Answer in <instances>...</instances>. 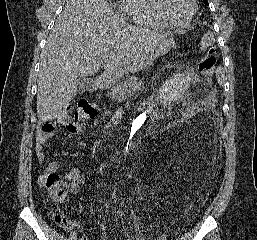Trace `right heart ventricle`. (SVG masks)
I'll use <instances>...</instances> for the list:
<instances>
[{"label":"right heart ventricle","instance_id":"obj_1","mask_svg":"<svg viewBox=\"0 0 257 240\" xmlns=\"http://www.w3.org/2000/svg\"><path fill=\"white\" fill-rule=\"evenodd\" d=\"M121 15L134 24L153 30H164L165 25L154 13L152 0H121Z\"/></svg>","mask_w":257,"mask_h":240}]
</instances>
